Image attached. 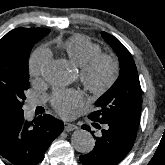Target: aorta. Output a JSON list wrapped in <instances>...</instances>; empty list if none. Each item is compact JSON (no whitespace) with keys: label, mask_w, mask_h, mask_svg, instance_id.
Returning <instances> with one entry per match:
<instances>
[{"label":"aorta","mask_w":165,"mask_h":165,"mask_svg":"<svg viewBox=\"0 0 165 165\" xmlns=\"http://www.w3.org/2000/svg\"><path fill=\"white\" fill-rule=\"evenodd\" d=\"M45 78L52 84L62 85L67 82L66 65L59 60L51 62L44 69ZM71 143L74 149L80 153L92 151L95 141L90 132L78 129L72 133Z\"/></svg>","instance_id":"762f6f07"}]
</instances>
